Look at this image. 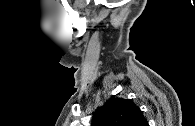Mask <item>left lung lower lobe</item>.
<instances>
[{
  "label": "left lung lower lobe",
  "instance_id": "0a47b994",
  "mask_svg": "<svg viewBox=\"0 0 195 126\" xmlns=\"http://www.w3.org/2000/svg\"><path fill=\"white\" fill-rule=\"evenodd\" d=\"M144 126H149V125H148V122H146V124H145Z\"/></svg>",
  "mask_w": 195,
  "mask_h": 126
}]
</instances>
